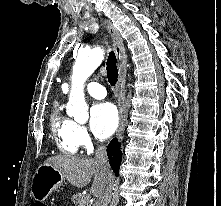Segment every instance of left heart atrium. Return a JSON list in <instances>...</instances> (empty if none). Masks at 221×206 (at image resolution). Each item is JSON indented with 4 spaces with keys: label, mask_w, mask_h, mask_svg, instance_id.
<instances>
[{
    "label": "left heart atrium",
    "mask_w": 221,
    "mask_h": 206,
    "mask_svg": "<svg viewBox=\"0 0 221 206\" xmlns=\"http://www.w3.org/2000/svg\"><path fill=\"white\" fill-rule=\"evenodd\" d=\"M119 116L116 107L109 102L99 103L90 112V127L100 138L111 136L117 129Z\"/></svg>",
    "instance_id": "obj_1"
}]
</instances>
